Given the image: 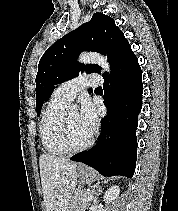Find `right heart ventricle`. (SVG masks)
I'll return each instance as SVG.
<instances>
[{
  "label": "right heart ventricle",
  "mask_w": 178,
  "mask_h": 211,
  "mask_svg": "<svg viewBox=\"0 0 178 211\" xmlns=\"http://www.w3.org/2000/svg\"><path fill=\"white\" fill-rule=\"evenodd\" d=\"M67 104L53 93L42 115L40 137L45 150L52 155L67 153L60 141L61 121Z\"/></svg>",
  "instance_id": "e07e8e85"
}]
</instances>
